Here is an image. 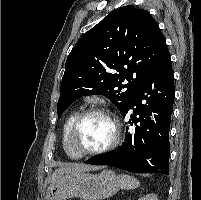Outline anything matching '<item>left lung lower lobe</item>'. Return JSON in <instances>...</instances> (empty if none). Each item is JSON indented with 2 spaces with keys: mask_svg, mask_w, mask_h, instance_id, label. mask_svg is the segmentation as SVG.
<instances>
[{
  "mask_svg": "<svg viewBox=\"0 0 201 200\" xmlns=\"http://www.w3.org/2000/svg\"><path fill=\"white\" fill-rule=\"evenodd\" d=\"M174 97V73L167 51L137 88L122 114L125 117L133 109L129 123L132 125L133 121L134 131L126 132L125 142L115 151L95 156L85 163L111 165L133 173L168 175Z\"/></svg>",
  "mask_w": 201,
  "mask_h": 200,
  "instance_id": "left-lung-lower-lobe-1",
  "label": "left lung lower lobe"
}]
</instances>
